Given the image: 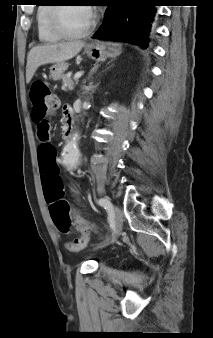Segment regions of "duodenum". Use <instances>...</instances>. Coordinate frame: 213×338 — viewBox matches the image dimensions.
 Here are the masks:
<instances>
[{
  "label": "duodenum",
  "instance_id": "1",
  "mask_svg": "<svg viewBox=\"0 0 213 338\" xmlns=\"http://www.w3.org/2000/svg\"><path fill=\"white\" fill-rule=\"evenodd\" d=\"M75 128V118L73 117V115H69L68 119L66 120V122L63 125V135L67 136L69 134H71L73 132Z\"/></svg>",
  "mask_w": 213,
  "mask_h": 338
}]
</instances>
